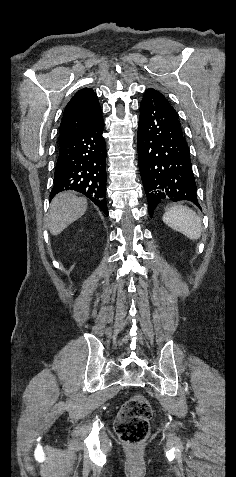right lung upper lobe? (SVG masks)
Listing matches in <instances>:
<instances>
[{"mask_svg": "<svg viewBox=\"0 0 236 477\" xmlns=\"http://www.w3.org/2000/svg\"><path fill=\"white\" fill-rule=\"evenodd\" d=\"M101 116V108L94 91L79 90L67 104L60 124L59 145L71 140Z\"/></svg>", "mask_w": 236, "mask_h": 477, "instance_id": "cb5924a9", "label": "right lung upper lobe"}]
</instances>
